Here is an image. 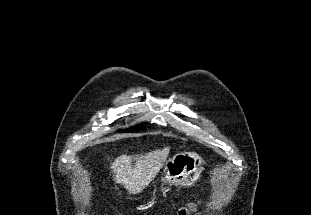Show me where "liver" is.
<instances>
[{
  "mask_svg": "<svg viewBox=\"0 0 311 215\" xmlns=\"http://www.w3.org/2000/svg\"><path fill=\"white\" fill-rule=\"evenodd\" d=\"M169 147L143 155H121L111 164L113 180L121 184L129 194H139L155 178L164 166Z\"/></svg>",
  "mask_w": 311,
  "mask_h": 215,
  "instance_id": "liver-1",
  "label": "liver"
}]
</instances>
